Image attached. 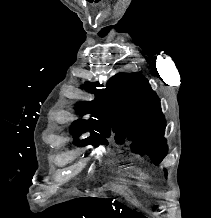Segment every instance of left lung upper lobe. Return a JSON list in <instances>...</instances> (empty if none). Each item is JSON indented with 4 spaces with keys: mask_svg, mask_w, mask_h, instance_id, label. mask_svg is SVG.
I'll return each mask as SVG.
<instances>
[{
    "mask_svg": "<svg viewBox=\"0 0 211 218\" xmlns=\"http://www.w3.org/2000/svg\"><path fill=\"white\" fill-rule=\"evenodd\" d=\"M107 93L108 117L116 141L123 143L127 136L133 140L134 152L146 153L154 164H159L167 154L163 137L166 121L159 98L147 79L141 74H117L108 81Z\"/></svg>",
    "mask_w": 211,
    "mask_h": 218,
    "instance_id": "left-lung-upper-lobe-1",
    "label": "left lung upper lobe"
}]
</instances>
